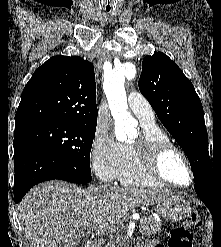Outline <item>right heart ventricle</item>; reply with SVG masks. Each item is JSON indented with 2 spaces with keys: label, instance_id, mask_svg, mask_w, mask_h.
<instances>
[{
  "label": "right heart ventricle",
  "instance_id": "right-heart-ventricle-1",
  "mask_svg": "<svg viewBox=\"0 0 221 247\" xmlns=\"http://www.w3.org/2000/svg\"><path fill=\"white\" fill-rule=\"evenodd\" d=\"M144 132L151 138L169 140L156 126H143ZM117 179L126 186H163L162 183L151 177L145 170L143 163L130 145H123L122 159Z\"/></svg>",
  "mask_w": 221,
  "mask_h": 247
}]
</instances>
